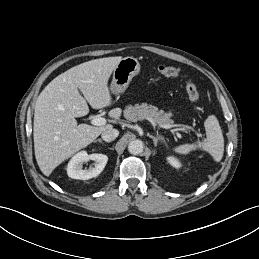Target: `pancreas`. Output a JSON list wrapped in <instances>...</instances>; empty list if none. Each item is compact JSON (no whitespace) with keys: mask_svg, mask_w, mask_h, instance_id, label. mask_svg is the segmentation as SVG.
Returning <instances> with one entry per match:
<instances>
[{"mask_svg":"<svg viewBox=\"0 0 259 259\" xmlns=\"http://www.w3.org/2000/svg\"><path fill=\"white\" fill-rule=\"evenodd\" d=\"M171 112L165 113L163 110H158L153 105L143 103L141 105H129L124 110V117L129 121L148 120L157 125H171L173 120L170 119Z\"/></svg>","mask_w":259,"mask_h":259,"instance_id":"pancreas-1","label":"pancreas"}]
</instances>
